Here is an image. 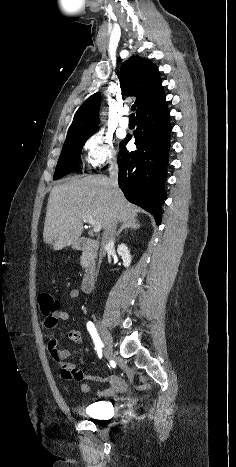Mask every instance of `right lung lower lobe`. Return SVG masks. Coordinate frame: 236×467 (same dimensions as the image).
I'll use <instances>...</instances> for the list:
<instances>
[{"instance_id":"obj_1","label":"right lung lower lobe","mask_w":236,"mask_h":467,"mask_svg":"<svg viewBox=\"0 0 236 467\" xmlns=\"http://www.w3.org/2000/svg\"><path fill=\"white\" fill-rule=\"evenodd\" d=\"M170 132L169 111L164 97L137 115L134 132L137 150L129 152L126 149L125 145L131 138L127 136L118 154L119 187L130 202L150 212L157 225L161 223V206L166 199L164 183Z\"/></svg>"}]
</instances>
